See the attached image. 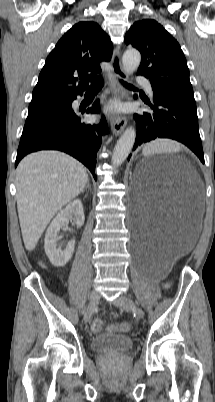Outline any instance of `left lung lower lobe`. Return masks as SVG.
<instances>
[{
  "label": "left lung lower lobe",
  "mask_w": 215,
  "mask_h": 402,
  "mask_svg": "<svg viewBox=\"0 0 215 402\" xmlns=\"http://www.w3.org/2000/svg\"><path fill=\"white\" fill-rule=\"evenodd\" d=\"M153 95L154 103L145 101L150 106V111L134 116L137 122V136L133 150L156 138H170L185 144L204 163L196 108L156 92H153Z\"/></svg>",
  "instance_id": "0a47b994"
}]
</instances>
